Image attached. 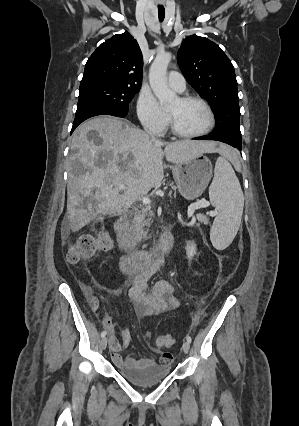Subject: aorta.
<instances>
[{
  "instance_id": "1",
  "label": "aorta",
  "mask_w": 299,
  "mask_h": 426,
  "mask_svg": "<svg viewBox=\"0 0 299 426\" xmlns=\"http://www.w3.org/2000/svg\"><path fill=\"white\" fill-rule=\"evenodd\" d=\"M172 58L171 53H158L149 70V83L160 104L168 105L176 98V94L167 85V68Z\"/></svg>"
}]
</instances>
